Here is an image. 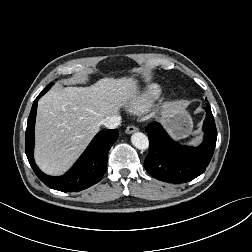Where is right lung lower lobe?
<instances>
[{
	"label": "right lung lower lobe",
	"instance_id": "98d812e1",
	"mask_svg": "<svg viewBox=\"0 0 252 252\" xmlns=\"http://www.w3.org/2000/svg\"><path fill=\"white\" fill-rule=\"evenodd\" d=\"M47 91L43 90L33 102L25 134V152L37 177L48 187L62 192H77L98 183L107 170L108 152L118 138V130L99 132L74 166L63 176H48L40 171L33 158L34 127L38 99Z\"/></svg>",
	"mask_w": 252,
	"mask_h": 252
}]
</instances>
